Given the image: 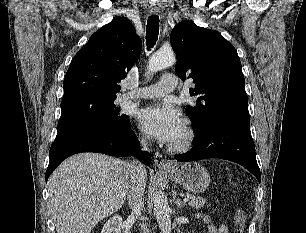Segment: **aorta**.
Returning <instances> with one entry per match:
<instances>
[{
  "label": "aorta",
  "mask_w": 306,
  "mask_h": 233,
  "mask_svg": "<svg viewBox=\"0 0 306 233\" xmlns=\"http://www.w3.org/2000/svg\"><path fill=\"white\" fill-rule=\"evenodd\" d=\"M176 62L175 54L172 50H159L149 59L147 74H153L164 68L174 65ZM154 214L161 230V233H171L170 208L167 196L161 190L155 192L153 196Z\"/></svg>",
  "instance_id": "obj_1"
}]
</instances>
